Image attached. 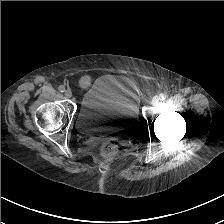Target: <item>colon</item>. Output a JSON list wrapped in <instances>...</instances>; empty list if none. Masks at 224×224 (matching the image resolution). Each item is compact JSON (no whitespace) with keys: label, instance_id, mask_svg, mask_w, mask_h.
I'll return each mask as SVG.
<instances>
[{"label":"colon","instance_id":"5ec220e1","mask_svg":"<svg viewBox=\"0 0 224 224\" xmlns=\"http://www.w3.org/2000/svg\"><path fill=\"white\" fill-rule=\"evenodd\" d=\"M101 150L105 156H113L117 153L118 147L116 144L108 142L102 145Z\"/></svg>","mask_w":224,"mask_h":224}]
</instances>
